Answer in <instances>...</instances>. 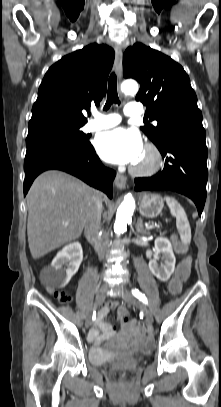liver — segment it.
Here are the masks:
<instances>
[{
	"label": "liver",
	"mask_w": 221,
	"mask_h": 407,
	"mask_svg": "<svg viewBox=\"0 0 221 407\" xmlns=\"http://www.w3.org/2000/svg\"><path fill=\"white\" fill-rule=\"evenodd\" d=\"M95 196L100 197V193L67 173L49 170L40 174L26 197L27 235L32 257L39 259L78 239Z\"/></svg>",
	"instance_id": "6515ba94"
}]
</instances>
